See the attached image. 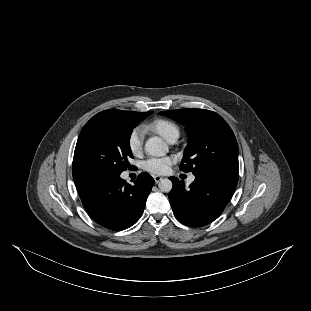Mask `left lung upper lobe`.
Returning a JSON list of instances; mask_svg holds the SVG:
<instances>
[{"label":"left lung upper lobe","mask_w":311,"mask_h":311,"mask_svg":"<svg viewBox=\"0 0 311 311\" xmlns=\"http://www.w3.org/2000/svg\"><path fill=\"white\" fill-rule=\"evenodd\" d=\"M183 124L189 143L180 170L194 175L219 169H239L238 144L226 121L205 109H179L159 112Z\"/></svg>","instance_id":"5c2ea615"}]
</instances>
